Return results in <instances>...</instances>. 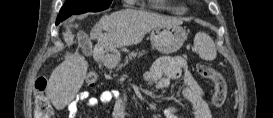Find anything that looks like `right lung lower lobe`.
<instances>
[{"instance_id":"obj_1","label":"right lung lower lobe","mask_w":273,"mask_h":118,"mask_svg":"<svg viewBox=\"0 0 273 118\" xmlns=\"http://www.w3.org/2000/svg\"><path fill=\"white\" fill-rule=\"evenodd\" d=\"M66 18L57 17L56 25H58L61 21L65 20Z\"/></svg>"}]
</instances>
